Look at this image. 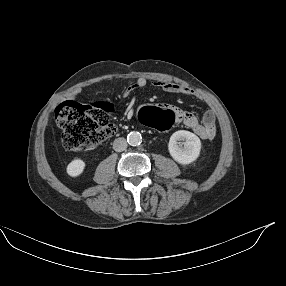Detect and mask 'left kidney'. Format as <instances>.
<instances>
[{
    "instance_id": "1",
    "label": "left kidney",
    "mask_w": 286,
    "mask_h": 286,
    "mask_svg": "<svg viewBox=\"0 0 286 286\" xmlns=\"http://www.w3.org/2000/svg\"><path fill=\"white\" fill-rule=\"evenodd\" d=\"M180 141H185L181 143ZM168 150L171 157L182 165L194 162L200 155L201 141L194 133L179 130L170 137Z\"/></svg>"
}]
</instances>
